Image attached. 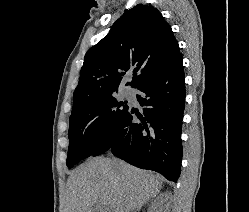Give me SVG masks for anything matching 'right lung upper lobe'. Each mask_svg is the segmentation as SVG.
I'll return each mask as SVG.
<instances>
[{
  "instance_id": "obj_1",
  "label": "right lung upper lobe",
  "mask_w": 249,
  "mask_h": 212,
  "mask_svg": "<svg viewBox=\"0 0 249 212\" xmlns=\"http://www.w3.org/2000/svg\"><path fill=\"white\" fill-rule=\"evenodd\" d=\"M179 55L178 42L161 13L152 6L136 5L87 51L73 109L114 95L132 69L133 80L126 85L138 88Z\"/></svg>"
}]
</instances>
